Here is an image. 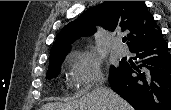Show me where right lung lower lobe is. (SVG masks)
Listing matches in <instances>:
<instances>
[{
	"label": "right lung lower lobe",
	"instance_id": "right-lung-lower-lobe-1",
	"mask_svg": "<svg viewBox=\"0 0 171 110\" xmlns=\"http://www.w3.org/2000/svg\"><path fill=\"white\" fill-rule=\"evenodd\" d=\"M130 51L140 65L124 62L111 70V88L136 110H171V55L162 33Z\"/></svg>",
	"mask_w": 171,
	"mask_h": 110
}]
</instances>
